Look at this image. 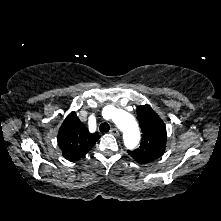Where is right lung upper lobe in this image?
<instances>
[{
    "label": "right lung upper lobe",
    "instance_id": "cb5924a9",
    "mask_svg": "<svg viewBox=\"0 0 221 221\" xmlns=\"http://www.w3.org/2000/svg\"><path fill=\"white\" fill-rule=\"evenodd\" d=\"M99 138L98 134L89 133L75 112L67 116L57 136L63 157L69 161H76L84 156Z\"/></svg>",
    "mask_w": 221,
    "mask_h": 221
}]
</instances>
